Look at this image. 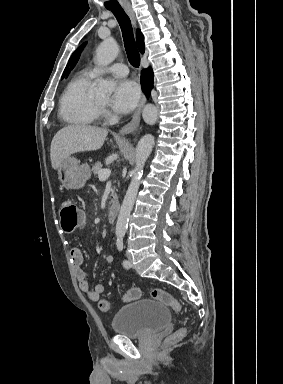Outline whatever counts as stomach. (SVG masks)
Here are the masks:
<instances>
[{"mask_svg": "<svg viewBox=\"0 0 283 384\" xmlns=\"http://www.w3.org/2000/svg\"><path fill=\"white\" fill-rule=\"evenodd\" d=\"M91 176L88 164L80 166L76 158H66L58 170V178L67 190H79L85 186Z\"/></svg>", "mask_w": 283, "mask_h": 384, "instance_id": "obj_1", "label": "stomach"}]
</instances>
